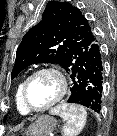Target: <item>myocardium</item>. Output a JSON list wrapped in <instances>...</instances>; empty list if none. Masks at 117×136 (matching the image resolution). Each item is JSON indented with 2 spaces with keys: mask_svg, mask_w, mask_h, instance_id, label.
Here are the masks:
<instances>
[{
  "mask_svg": "<svg viewBox=\"0 0 117 136\" xmlns=\"http://www.w3.org/2000/svg\"><path fill=\"white\" fill-rule=\"evenodd\" d=\"M44 73L52 74L53 76L57 78L59 83V92L57 96L46 106L42 108H34L28 102V98H27L28 86L34 77ZM67 89H68L67 80L61 71L52 67H43V68L35 70L24 80L22 93H21L22 103L29 113H42L49 110L53 106H55L57 103H59L63 99V97L66 95Z\"/></svg>",
  "mask_w": 117,
  "mask_h": 136,
  "instance_id": "myocardium-1",
  "label": "myocardium"
}]
</instances>
